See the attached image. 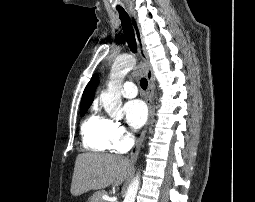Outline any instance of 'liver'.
I'll list each match as a JSON object with an SVG mask.
<instances>
[{"label": "liver", "mask_w": 255, "mask_h": 202, "mask_svg": "<svg viewBox=\"0 0 255 202\" xmlns=\"http://www.w3.org/2000/svg\"><path fill=\"white\" fill-rule=\"evenodd\" d=\"M130 161L120 155L84 153L77 156L70 192L79 196L111 184L121 185L131 174Z\"/></svg>", "instance_id": "liver-1"}]
</instances>
